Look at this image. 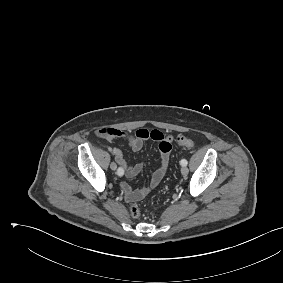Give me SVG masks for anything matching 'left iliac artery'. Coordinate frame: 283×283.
Here are the masks:
<instances>
[{"label": "left iliac artery", "mask_w": 283, "mask_h": 283, "mask_svg": "<svg viewBox=\"0 0 283 283\" xmlns=\"http://www.w3.org/2000/svg\"><path fill=\"white\" fill-rule=\"evenodd\" d=\"M180 164H181L182 166H186V165L188 164V162H187L186 159H182V160L180 161Z\"/></svg>", "instance_id": "left-iliac-artery-1"}]
</instances>
